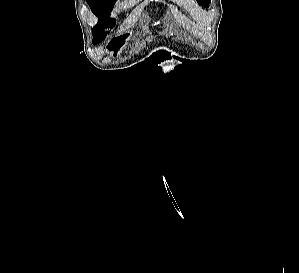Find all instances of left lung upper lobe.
Wrapping results in <instances>:
<instances>
[{"instance_id":"left-lung-upper-lobe-1","label":"left lung upper lobe","mask_w":299,"mask_h":273,"mask_svg":"<svg viewBox=\"0 0 299 273\" xmlns=\"http://www.w3.org/2000/svg\"><path fill=\"white\" fill-rule=\"evenodd\" d=\"M197 2L199 3V5L208 8L210 0H197Z\"/></svg>"}]
</instances>
